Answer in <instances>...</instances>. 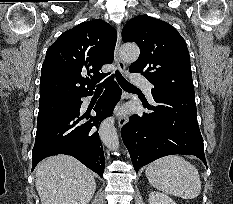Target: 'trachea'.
<instances>
[{
  "mask_svg": "<svg viewBox=\"0 0 233 204\" xmlns=\"http://www.w3.org/2000/svg\"><path fill=\"white\" fill-rule=\"evenodd\" d=\"M116 80L118 81V83L120 84V86L124 89V90H130V89H136V87L132 84H130L122 75L121 73L116 70Z\"/></svg>",
  "mask_w": 233,
  "mask_h": 204,
  "instance_id": "trachea-1",
  "label": "trachea"
}]
</instances>
